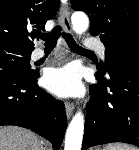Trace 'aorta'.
<instances>
[{
	"instance_id": "762f6f07",
	"label": "aorta",
	"mask_w": 139,
	"mask_h": 150,
	"mask_svg": "<svg viewBox=\"0 0 139 150\" xmlns=\"http://www.w3.org/2000/svg\"><path fill=\"white\" fill-rule=\"evenodd\" d=\"M72 28L82 34L89 26L88 16L81 11L74 12L71 16ZM84 115L77 112L72 118L65 136L64 150H81L84 133Z\"/></svg>"
}]
</instances>
